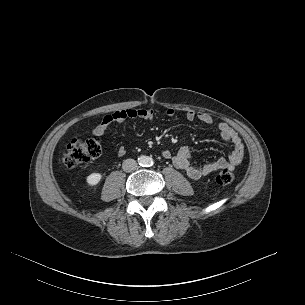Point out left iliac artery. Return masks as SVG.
<instances>
[{
  "label": "left iliac artery",
  "mask_w": 305,
  "mask_h": 305,
  "mask_svg": "<svg viewBox=\"0 0 305 305\" xmlns=\"http://www.w3.org/2000/svg\"><path fill=\"white\" fill-rule=\"evenodd\" d=\"M154 164V162L152 160H150V166H152Z\"/></svg>",
  "instance_id": "obj_1"
}]
</instances>
